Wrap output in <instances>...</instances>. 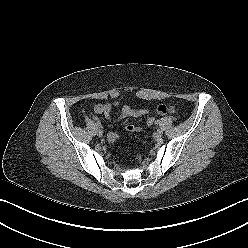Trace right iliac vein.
Returning a JSON list of instances; mask_svg holds the SVG:
<instances>
[{
  "instance_id": "right-iliac-vein-1",
  "label": "right iliac vein",
  "mask_w": 248,
  "mask_h": 248,
  "mask_svg": "<svg viewBox=\"0 0 248 248\" xmlns=\"http://www.w3.org/2000/svg\"><path fill=\"white\" fill-rule=\"evenodd\" d=\"M96 133L99 137L103 135V131L101 129H98Z\"/></svg>"
}]
</instances>
